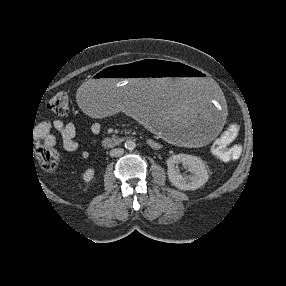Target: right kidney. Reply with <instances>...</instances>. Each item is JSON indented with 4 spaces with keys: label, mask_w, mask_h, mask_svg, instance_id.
<instances>
[{
    "label": "right kidney",
    "mask_w": 286,
    "mask_h": 286,
    "mask_svg": "<svg viewBox=\"0 0 286 286\" xmlns=\"http://www.w3.org/2000/svg\"><path fill=\"white\" fill-rule=\"evenodd\" d=\"M95 170L93 168H88L83 174V180L85 183H89L94 178Z\"/></svg>",
    "instance_id": "ca27d5eb"
}]
</instances>
